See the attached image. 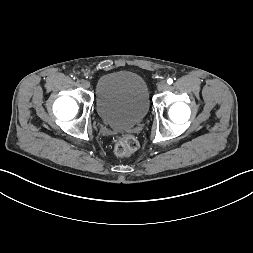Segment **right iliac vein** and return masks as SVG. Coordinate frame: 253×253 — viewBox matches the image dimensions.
Returning <instances> with one entry per match:
<instances>
[{
    "mask_svg": "<svg viewBox=\"0 0 253 253\" xmlns=\"http://www.w3.org/2000/svg\"><path fill=\"white\" fill-rule=\"evenodd\" d=\"M82 86L84 87V88H89L90 87V82L89 81H87V80H83L82 81Z\"/></svg>",
    "mask_w": 253,
    "mask_h": 253,
    "instance_id": "1",
    "label": "right iliac vein"
}]
</instances>
